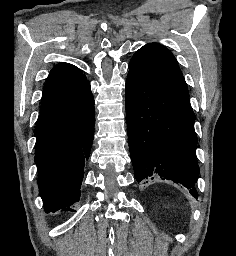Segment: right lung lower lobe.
<instances>
[{
	"label": "right lung lower lobe",
	"instance_id": "right-lung-lower-lobe-1",
	"mask_svg": "<svg viewBox=\"0 0 236 256\" xmlns=\"http://www.w3.org/2000/svg\"><path fill=\"white\" fill-rule=\"evenodd\" d=\"M94 99L89 81L40 111L35 163L46 212L73 211L94 135Z\"/></svg>",
	"mask_w": 236,
	"mask_h": 256
}]
</instances>
